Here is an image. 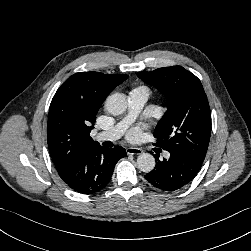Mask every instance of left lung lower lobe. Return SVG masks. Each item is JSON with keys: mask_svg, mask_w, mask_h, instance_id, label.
I'll return each mask as SVG.
<instances>
[{"mask_svg": "<svg viewBox=\"0 0 251 251\" xmlns=\"http://www.w3.org/2000/svg\"><path fill=\"white\" fill-rule=\"evenodd\" d=\"M145 178L163 191H176L189 184L199 172L203 161L187 152H170L168 160L159 161Z\"/></svg>", "mask_w": 251, "mask_h": 251, "instance_id": "left-lung-lower-lobe-1", "label": "left lung lower lobe"}]
</instances>
